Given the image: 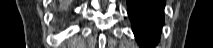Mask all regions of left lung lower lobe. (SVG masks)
I'll return each mask as SVG.
<instances>
[{
	"label": "left lung lower lobe",
	"instance_id": "0a47b994",
	"mask_svg": "<svg viewBox=\"0 0 213 48\" xmlns=\"http://www.w3.org/2000/svg\"><path fill=\"white\" fill-rule=\"evenodd\" d=\"M164 5L165 0H127L133 32L142 48H154L159 42Z\"/></svg>",
	"mask_w": 213,
	"mask_h": 48
}]
</instances>
